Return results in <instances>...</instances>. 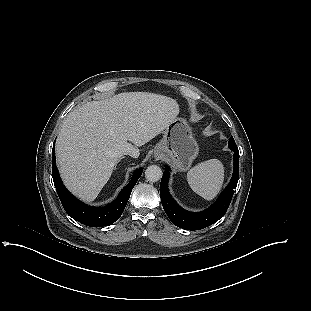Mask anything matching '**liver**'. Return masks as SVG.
Listing matches in <instances>:
<instances>
[{
  "label": "liver",
  "mask_w": 311,
  "mask_h": 311,
  "mask_svg": "<svg viewBox=\"0 0 311 311\" xmlns=\"http://www.w3.org/2000/svg\"><path fill=\"white\" fill-rule=\"evenodd\" d=\"M178 103L163 95L124 92L74 109L56 141L66 187L92 202L110 179L119 157H139L140 147L176 120Z\"/></svg>",
  "instance_id": "1"
}]
</instances>
